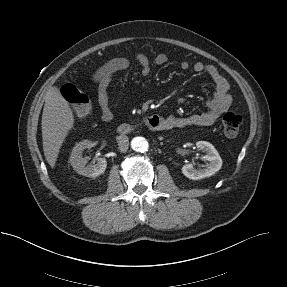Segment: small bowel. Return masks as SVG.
<instances>
[{
  "instance_id": "c3829d8e",
  "label": "small bowel",
  "mask_w": 287,
  "mask_h": 287,
  "mask_svg": "<svg viewBox=\"0 0 287 287\" xmlns=\"http://www.w3.org/2000/svg\"><path fill=\"white\" fill-rule=\"evenodd\" d=\"M134 60L140 66L141 73L143 75H148L153 66L165 65L168 62V57L163 53L157 54L153 58H149L143 53H136L134 55ZM130 65L131 61L128 58L116 57L101 65L93 75V81L96 83L98 88V103L101 109V118L103 121H111L113 119V113L109 106L108 87L115 74L128 69ZM180 68L184 71L191 68L198 74H207L215 85V91L207 101L206 111L186 117H160L162 121L161 130L213 125L220 115L229 110L232 106L233 98L229 92V82L213 65H206L202 62L190 64L188 61H182L180 63Z\"/></svg>"
}]
</instances>
